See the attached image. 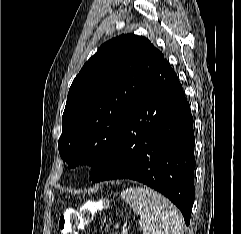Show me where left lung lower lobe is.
Returning a JSON list of instances; mask_svg holds the SVG:
<instances>
[{
	"label": "left lung lower lobe",
	"instance_id": "left-lung-lower-lobe-1",
	"mask_svg": "<svg viewBox=\"0 0 241 234\" xmlns=\"http://www.w3.org/2000/svg\"><path fill=\"white\" fill-rule=\"evenodd\" d=\"M193 118L182 85L163 60L144 85L93 183L133 179L168 197L190 224L194 202Z\"/></svg>",
	"mask_w": 241,
	"mask_h": 234
}]
</instances>
